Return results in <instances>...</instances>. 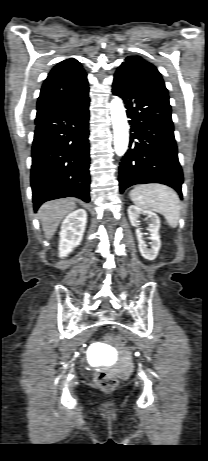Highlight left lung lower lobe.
Wrapping results in <instances>:
<instances>
[{
    "instance_id": "left-lung-lower-lobe-1",
    "label": "left lung lower lobe",
    "mask_w": 208,
    "mask_h": 461,
    "mask_svg": "<svg viewBox=\"0 0 208 461\" xmlns=\"http://www.w3.org/2000/svg\"><path fill=\"white\" fill-rule=\"evenodd\" d=\"M112 92L122 98L132 131L119 167L120 192L135 184L161 183L174 188L182 198L183 172L168 93L116 73Z\"/></svg>"
}]
</instances>
